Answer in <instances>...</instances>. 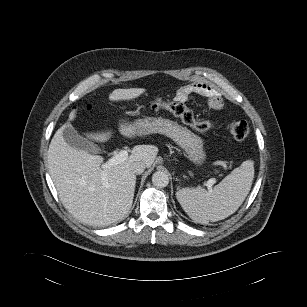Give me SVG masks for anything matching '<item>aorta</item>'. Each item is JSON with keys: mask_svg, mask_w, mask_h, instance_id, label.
<instances>
[{"mask_svg": "<svg viewBox=\"0 0 307 307\" xmlns=\"http://www.w3.org/2000/svg\"><path fill=\"white\" fill-rule=\"evenodd\" d=\"M152 183L159 188L166 187L169 184V175L165 171H156L152 175Z\"/></svg>", "mask_w": 307, "mask_h": 307, "instance_id": "aorta-1", "label": "aorta"}]
</instances>
